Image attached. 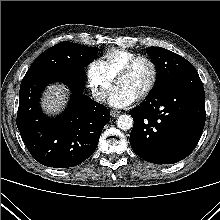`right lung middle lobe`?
I'll list each match as a JSON object with an SVG mask.
<instances>
[{
	"label": "right lung middle lobe",
	"instance_id": "right-lung-middle-lobe-1",
	"mask_svg": "<svg viewBox=\"0 0 220 220\" xmlns=\"http://www.w3.org/2000/svg\"><path fill=\"white\" fill-rule=\"evenodd\" d=\"M98 47L61 42L41 53L27 72L46 70H83L97 56Z\"/></svg>",
	"mask_w": 220,
	"mask_h": 220
}]
</instances>
